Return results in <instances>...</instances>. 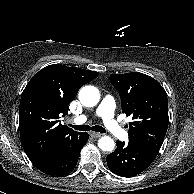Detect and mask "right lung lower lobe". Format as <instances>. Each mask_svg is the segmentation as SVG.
<instances>
[{
	"label": "right lung lower lobe",
	"mask_w": 194,
	"mask_h": 194,
	"mask_svg": "<svg viewBox=\"0 0 194 194\" xmlns=\"http://www.w3.org/2000/svg\"><path fill=\"white\" fill-rule=\"evenodd\" d=\"M88 138L87 132H79L72 139L58 145L43 161L34 164V166L52 176L69 174L75 168L80 151Z\"/></svg>",
	"instance_id": "right-lung-lower-lobe-1"
}]
</instances>
